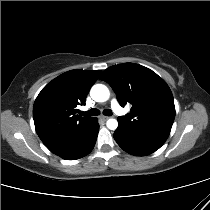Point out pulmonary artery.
<instances>
[{
  "mask_svg": "<svg viewBox=\"0 0 210 210\" xmlns=\"http://www.w3.org/2000/svg\"><path fill=\"white\" fill-rule=\"evenodd\" d=\"M111 106L117 114L123 115L125 113L124 110L121 108V106L117 103L116 100L112 101Z\"/></svg>",
  "mask_w": 210,
  "mask_h": 210,
  "instance_id": "pulmonary-artery-1",
  "label": "pulmonary artery"
}]
</instances>
